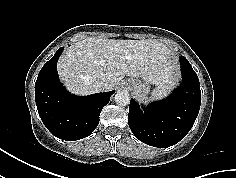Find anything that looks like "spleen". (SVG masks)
Here are the masks:
<instances>
[{
	"label": "spleen",
	"instance_id": "obj_1",
	"mask_svg": "<svg viewBox=\"0 0 236 178\" xmlns=\"http://www.w3.org/2000/svg\"><path fill=\"white\" fill-rule=\"evenodd\" d=\"M170 92V86L167 84L157 86L151 93V99L157 100L166 97Z\"/></svg>",
	"mask_w": 236,
	"mask_h": 178
}]
</instances>
